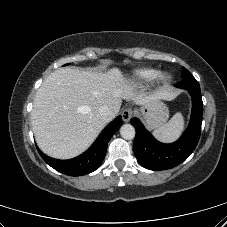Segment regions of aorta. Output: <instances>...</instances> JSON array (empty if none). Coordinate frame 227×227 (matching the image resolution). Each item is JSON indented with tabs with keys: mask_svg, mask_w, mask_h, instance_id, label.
<instances>
[{
	"mask_svg": "<svg viewBox=\"0 0 227 227\" xmlns=\"http://www.w3.org/2000/svg\"><path fill=\"white\" fill-rule=\"evenodd\" d=\"M122 138L131 140L135 137V128L131 124H124L120 128Z\"/></svg>",
	"mask_w": 227,
	"mask_h": 227,
	"instance_id": "762f6f07",
	"label": "aorta"
}]
</instances>
